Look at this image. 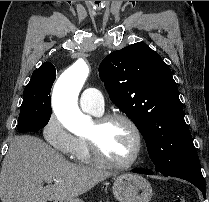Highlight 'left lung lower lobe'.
<instances>
[{
  "mask_svg": "<svg viewBox=\"0 0 209 202\" xmlns=\"http://www.w3.org/2000/svg\"><path fill=\"white\" fill-rule=\"evenodd\" d=\"M134 172L140 173V174H148V175L153 174V172L151 170H146V169H137V170H134ZM163 175L178 177V178L187 180L188 182L195 185L198 189H200L203 194V197L205 198L206 186H205V180H204L203 175L201 173V166H200L198 155L189 159L180 168H178L170 173H164Z\"/></svg>",
  "mask_w": 209,
  "mask_h": 202,
  "instance_id": "left-lung-lower-lobe-1",
  "label": "left lung lower lobe"
}]
</instances>
